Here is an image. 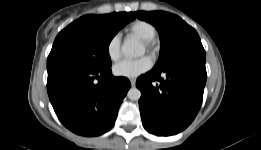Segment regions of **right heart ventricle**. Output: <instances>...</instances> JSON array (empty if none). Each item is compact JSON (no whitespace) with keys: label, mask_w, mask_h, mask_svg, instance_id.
<instances>
[{"label":"right heart ventricle","mask_w":261,"mask_h":150,"mask_svg":"<svg viewBox=\"0 0 261 150\" xmlns=\"http://www.w3.org/2000/svg\"><path fill=\"white\" fill-rule=\"evenodd\" d=\"M128 35H133L141 40L152 39L156 36V27L146 20H135L125 29Z\"/></svg>","instance_id":"obj_1"}]
</instances>
